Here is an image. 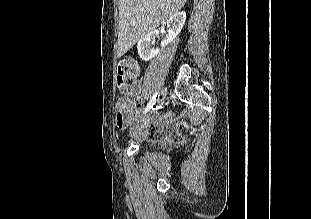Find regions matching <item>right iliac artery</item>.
I'll use <instances>...</instances> for the list:
<instances>
[{"mask_svg": "<svg viewBox=\"0 0 311 219\" xmlns=\"http://www.w3.org/2000/svg\"><path fill=\"white\" fill-rule=\"evenodd\" d=\"M157 92L155 93V95H153V97L151 98L150 102L147 104L144 113H147L155 104L156 102V97H157Z\"/></svg>", "mask_w": 311, "mask_h": 219, "instance_id": "right-iliac-artery-1", "label": "right iliac artery"}]
</instances>
